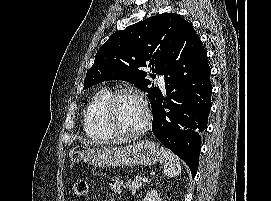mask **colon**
I'll use <instances>...</instances> for the list:
<instances>
[{
  "label": "colon",
  "instance_id": "colon-1",
  "mask_svg": "<svg viewBox=\"0 0 271 201\" xmlns=\"http://www.w3.org/2000/svg\"><path fill=\"white\" fill-rule=\"evenodd\" d=\"M87 191H88L87 180L83 177L77 178L74 183V194L78 197H82L86 195Z\"/></svg>",
  "mask_w": 271,
  "mask_h": 201
}]
</instances>
